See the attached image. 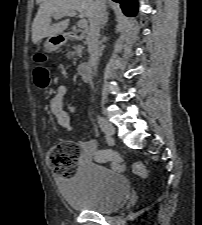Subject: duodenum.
<instances>
[{
    "label": "duodenum",
    "instance_id": "1",
    "mask_svg": "<svg viewBox=\"0 0 202 225\" xmlns=\"http://www.w3.org/2000/svg\"><path fill=\"white\" fill-rule=\"evenodd\" d=\"M56 39L58 42H63L65 39L78 40V36L75 33H69L66 36H58ZM78 73L84 80H89L91 73L90 66L87 63H81L78 66Z\"/></svg>",
    "mask_w": 202,
    "mask_h": 225
}]
</instances>
